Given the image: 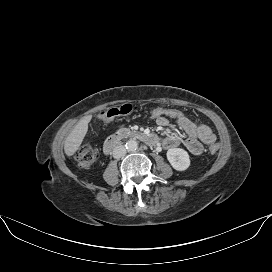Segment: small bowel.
Masks as SVG:
<instances>
[{
	"instance_id": "1",
	"label": "small bowel",
	"mask_w": 272,
	"mask_h": 272,
	"mask_svg": "<svg viewBox=\"0 0 272 272\" xmlns=\"http://www.w3.org/2000/svg\"><path fill=\"white\" fill-rule=\"evenodd\" d=\"M157 124L161 127L169 125V119L158 118ZM177 125L185 132L186 136L182 140L179 135L170 133L163 139L166 148H174L183 143L193 155H200L203 152L204 144H213L216 136L212 130L204 124H195L189 118L176 120Z\"/></svg>"
}]
</instances>
